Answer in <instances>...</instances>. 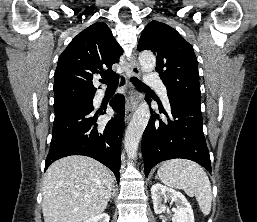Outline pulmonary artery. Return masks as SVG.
<instances>
[{
    "label": "pulmonary artery",
    "mask_w": 257,
    "mask_h": 222,
    "mask_svg": "<svg viewBox=\"0 0 257 222\" xmlns=\"http://www.w3.org/2000/svg\"><path fill=\"white\" fill-rule=\"evenodd\" d=\"M145 81L148 85L152 87H156L159 90L160 95L162 96L165 104L169 106V101L167 97V91L165 86L163 85L162 81L153 73H148L145 77ZM103 95L102 92L97 93V97L101 98Z\"/></svg>",
    "instance_id": "e3ab8cb5"
}]
</instances>
